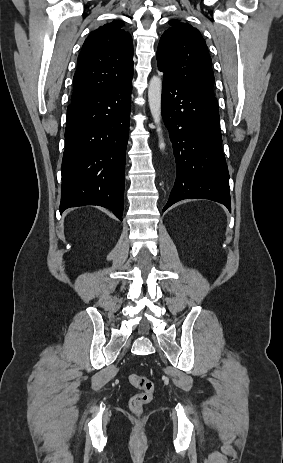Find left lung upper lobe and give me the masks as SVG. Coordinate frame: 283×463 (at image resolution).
<instances>
[{"instance_id": "obj_1", "label": "left lung upper lobe", "mask_w": 283, "mask_h": 463, "mask_svg": "<svg viewBox=\"0 0 283 463\" xmlns=\"http://www.w3.org/2000/svg\"><path fill=\"white\" fill-rule=\"evenodd\" d=\"M161 36L158 66L198 95L217 102L213 93L212 60L200 32L187 23L170 20Z\"/></svg>"}]
</instances>
